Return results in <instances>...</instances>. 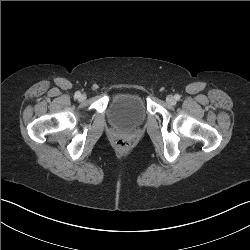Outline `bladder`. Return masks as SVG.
I'll return each mask as SVG.
<instances>
[{"label": "bladder", "instance_id": "31cf9c89", "mask_svg": "<svg viewBox=\"0 0 250 250\" xmlns=\"http://www.w3.org/2000/svg\"><path fill=\"white\" fill-rule=\"evenodd\" d=\"M108 114L115 127L131 130L139 127L145 121L147 111L141 96L120 93L111 99Z\"/></svg>", "mask_w": 250, "mask_h": 250}]
</instances>
